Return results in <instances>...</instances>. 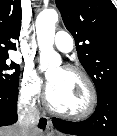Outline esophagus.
<instances>
[{
  "label": "esophagus",
  "instance_id": "esophagus-1",
  "mask_svg": "<svg viewBox=\"0 0 117 136\" xmlns=\"http://www.w3.org/2000/svg\"><path fill=\"white\" fill-rule=\"evenodd\" d=\"M46 134L48 136H55L56 135V131L53 127L52 121L49 118H48L47 126H46Z\"/></svg>",
  "mask_w": 117,
  "mask_h": 136
}]
</instances>
